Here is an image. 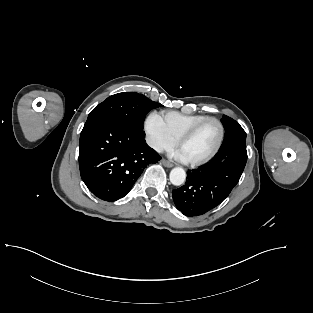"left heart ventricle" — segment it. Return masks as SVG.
Returning a JSON list of instances; mask_svg holds the SVG:
<instances>
[{"mask_svg": "<svg viewBox=\"0 0 313 313\" xmlns=\"http://www.w3.org/2000/svg\"><path fill=\"white\" fill-rule=\"evenodd\" d=\"M219 138L217 123L210 121L203 125L189 140L184 142L179 150L188 161L206 157L212 152Z\"/></svg>", "mask_w": 313, "mask_h": 313, "instance_id": "left-heart-ventricle-1", "label": "left heart ventricle"}]
</instances>
